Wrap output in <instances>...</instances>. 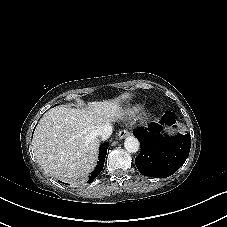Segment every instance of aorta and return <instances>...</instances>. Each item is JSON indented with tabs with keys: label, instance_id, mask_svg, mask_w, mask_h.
Instances as JSON below:
<instances>
[{
	"label": "aorta",
	"instance_id": "aorta-1",
	"mask_svg": "<svg viewBox=\"0 0 227 227\" xmlns=\"http://www.w3.org/2000/svg\"><path fill=\"white\" fill-rule=\"evenodd\" d=\"M124 147L129 153H136L139 150L140 143L134 136H129L124 141Z\"/></svg>",
	"mask_w": 227,
	"mask_h": 227
}]
</instances>
